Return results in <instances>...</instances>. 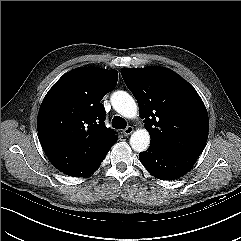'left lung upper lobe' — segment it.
Returning a JSON list of instances; mask_svg holds the SVG:
<instances>
[{"instance_id": "1", "label": "left lung upper lobe", "mask_w": 241, "mask_h": 241, "mask_svg": "<svg viewBox=\"0 0 241 241\" xmlns=\"http://www.w3.org/2000/svg\"><path fill=\"white\" fill-rule=\"evenodd\" d=\"M151 143L174 153L199 157L208 138V114L195 89L163 67L123 68Z\"/></svg>"}]
</instances>
